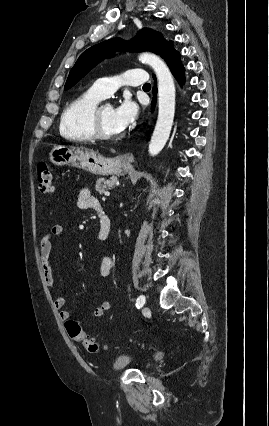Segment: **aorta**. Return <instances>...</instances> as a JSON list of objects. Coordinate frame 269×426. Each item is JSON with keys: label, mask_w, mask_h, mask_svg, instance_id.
I'll list each match as a JSON object with an SVG mask.
<instances>
[{"label": "aorta", "mask_w": 269, "mask_h": 426, "mask_svg": "<svg viewBox=\"0 0 269 426\" xmlns=\"http://www.w3.org/2000/svg\"><path fill=\"white\" fill-rule=\"evenodd\" d=\"M139 61L152 67L158 81V119L149 143V154L155 156L164 148L173 125L175 85L168 66L158 55L144 52Z\"/></svg>", "instance_id": "aorta-1"}]
</instances>
